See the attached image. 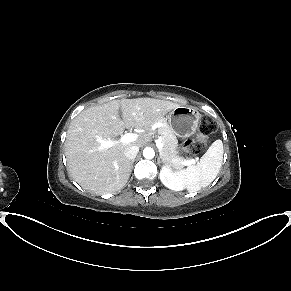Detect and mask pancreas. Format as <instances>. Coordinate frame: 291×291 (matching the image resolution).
I'll list each match as a JSON object with an SVG mask.
<instances>
[{"instance_id":"pancreas-1","label":"pancreas","mask_w":291,"mask_h":291,"mask_svg":"<svg viewBox=\"0 0 291 291\" xmlns=\"http://www.w3.org/2000/svg\"><path fill=\"white\" fill-rule=\"evenodd\" d=\"M163 125L158 128V134L162 138L163 147L159 150L160 158L170 164L174 168L184 167L186 161L183 157L178 155L177 138L170 126L162 120H159Z\"/></svg>"}]
</instances>
